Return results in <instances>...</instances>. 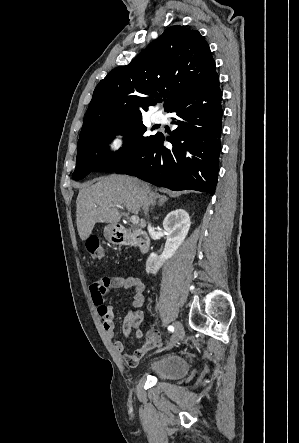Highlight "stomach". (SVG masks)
Masks as SVG:
<instances>
[{"label":"stomach","instance_id":"stomach-1","mask_svg":"<svg viewBox=\"0 0 299 443\" xmlns=\"http://www.w3.org/2000/svg\"><path fill=\"white\" fill-rule=\"evenodd\" d=\"M115 225H108L104 228V236L109 242H114Z\"/></svg>","mask_w":299,"mask_h":443}]
</instances>
